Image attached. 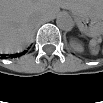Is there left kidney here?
<instances>
[{
    "label": "left kidney",
    "instance_id": "obj_1",
    "mask_svg": "<svg viewBox=\"0 0 103 103\" xmlns=\"http://www.w3.org/2000/svg\"><path fill=\"white\" fill-rule=\"evenodd\" d=\"M71 45L76 51H82V49H83L81 44L76 43L74 41L71 43Z\"/></svg>",
    "mask_w": 103,
    "mask_h": 103
}]
</instances>
